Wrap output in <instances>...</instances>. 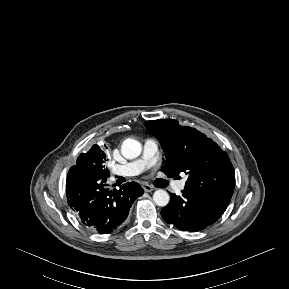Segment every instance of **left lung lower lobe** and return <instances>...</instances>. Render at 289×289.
<instances>
[{
  "label": "left lung lower lobe",
  "instance_id": "left-lung-lower-lobe-1",
  "mask_svg": "<svg viewBox=\"0 0 289 289\" xmlns=\"http://www.w3.org/2000/svg\"><path fill=\"white\" fill-rule=\"evenodd\" d=\"M182 193V196L170 193L169 204L161 210L163 219L180 230H203L219 219L228 206L192 189L185 188Z\"/></svg>",
  "mask_w": 289,
  "mask_h": 289
}]
</instances>
